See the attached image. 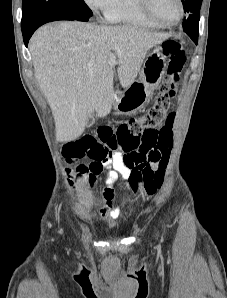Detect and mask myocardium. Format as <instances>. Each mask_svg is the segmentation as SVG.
Masks as SVG:
<instances>
[{"instance_id":"f54148a6","label":"myocardium","mask_w":227,"mask_h":298,"mask_svg":"<svg viewBox=\"0 0 227 298\" xmlns=\"http://www.w3.org/2000/svg\"><path fill=\"white\" fill-rule=\"evenodd\" d=\"M152 2H153L152 0H139L140 9L146 18H148L155 24L159 25L160 27H173V26L177 25L183 19V16H184L183 0H177L178 5H179V16L172 23H165L155 16V14L153 12V8H152Z\"/></svg>"}]
</instances>
